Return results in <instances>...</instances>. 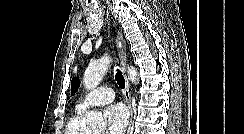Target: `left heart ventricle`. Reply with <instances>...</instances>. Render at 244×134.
I'll use <instances>...</instances> for the list:
<instances>
[{"label":"left heart ventricle","instance_id":"b2bd125f","mask_svg":"<svg viewBox=\"0 0 244 134\" xmlns=\"http://www.w3.org/2000/svg\"><path fill=\"white\" fill-rule=\"evenodd\" d=\"M95 134H102L101 132H97V133H95Z\"/></svg>","mask_w":244,"mask_h":134}]
</instances>
